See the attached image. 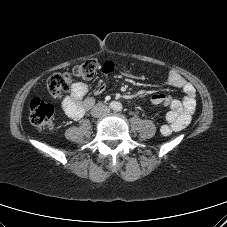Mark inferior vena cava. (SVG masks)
I'll list each match as a JSON object with an SVG mask.
<instances>
[{
  "label": "inferior vena cava",
  "instance_id": "1",
  "mask_svg": "<svg viewBox=\"0 0 227 227\" xmlns=\"http://www.w3.org/2000/svg\"><path fill=\"white\" fill-rule=\"evenodd\" d=\"M100 110H103V113H107L109 111V109L107 108V106L103 105V104H99V105H96L94 106L93 108V112H99Z\"/></svg>",
  "mask_w": 227,
  "mask_h": 227
}]
</instances>
